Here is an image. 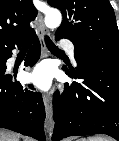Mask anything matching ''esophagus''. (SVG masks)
<instances>
[{"label": "esophagus", "mask_w": 119, "mask_h": 141, "mask_svg": "<svg viewBox=\"0 0 119 141\" xmlns=\"http://www.w3.org/2000/svg\"><path fill=\"white\" fill-rule=\"evenodd\" d=\"M36 22H37V33H38L39 41L42 48V57H48L49 52L45 45L46 27L44 24L43 16L40 13L38 14L36 18ZM44 105L46 110L45 126L49 131H51L54 127V122L52 117L53 116L52 99L49 93H46L44 95Z\"/></svg>", "instance_id": "obj_1"}]
</instances>
